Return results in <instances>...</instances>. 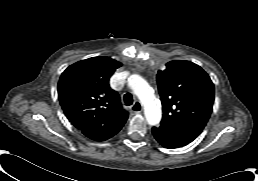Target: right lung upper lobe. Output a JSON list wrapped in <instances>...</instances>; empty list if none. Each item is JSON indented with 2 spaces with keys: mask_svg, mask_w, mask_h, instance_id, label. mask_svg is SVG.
Listing matches in <instances>:
<instances>
[{
  "mask_svg": "<svg viewBox=\"0 0 258 181\" xmlns=\"http://www.w3.org/2000/svg\"><path fill=\"white\" fill-rule=\"evenodd\" d=\"M122 64L109 57H93L69 66L58 83V98L69 121L84 134L116 123L128 113L109 78Z\"/></svg>",
  "mask_w": 258,
  "mask_h": 181,
  "instance_id": "right-lung-upper-lobe-1",
  "label": "right lung upper lobe"
}]
</instances>
